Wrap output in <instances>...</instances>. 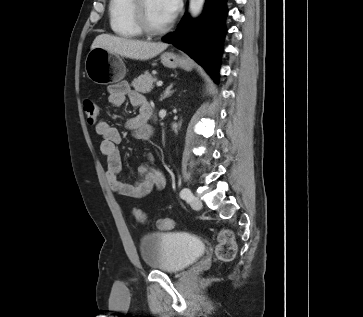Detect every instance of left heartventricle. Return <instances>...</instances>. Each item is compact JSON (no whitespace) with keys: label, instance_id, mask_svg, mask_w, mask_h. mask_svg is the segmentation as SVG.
I'll return each instance as SVG.
<instances>
[{"label":"left heart ventricle","instance_id":"1","mask_svg":"<svg viewBox=\"0 0 363 317\" xmlns=\"http://www.w3.org/2000/svg\"><path fill=\"white\" fill-rule=\"evenodd\" d=\"M145 14L148 23L154 28H160L168 24L160 0H146Z\"/></svg>","mask_w":363,"mask_h":317}]
</instances>
